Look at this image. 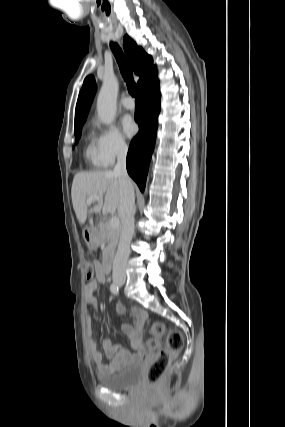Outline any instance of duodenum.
<instances>
[{
    "mask_svg": "<svg viewBox=\"0 0 285 427\" xmlns=\"http://www.w3.org/2000/svg\"><path fill=\"white\" fill-rule=\"evenodd\" d=\"M114 260V249L111 247L108 249L106 258H105V266L108 269Z\"/></svg>",
    "mask_w": 285,
    "mask_h": 427,
    "instance_id": "410a0bca",
    "label": "duodenum"
}]
</instances>
